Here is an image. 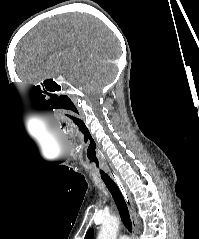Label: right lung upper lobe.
Listing matches in <instances>:
<instances>
[{
	"instance_id": "cb5924a9",
	"label": "right lung upper lobe",
	"mask_w": 199,
	"mask_h": 239,
	"mask_svg": "<svg viewBox=\"0 0 199 239\" xmlns=\"http://www.w3.org/2000/svg\"><path fill=\"white\" fill-rule=\"evenodd\" d=\"M93 236H94V232H93V229H90L86 236H85V239H93Z\"/></svg>"
}]
</instances>
